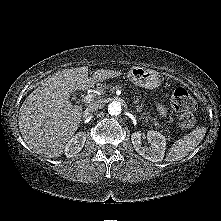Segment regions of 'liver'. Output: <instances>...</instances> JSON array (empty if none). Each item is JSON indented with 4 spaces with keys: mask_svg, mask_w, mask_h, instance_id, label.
<instances>
[{
    "mask_svg": "<svg viewBox=\"0 0 221 221\" xmlns=\"http://www.w3.org/2000/svg\"><path fill=\"white\" fill-rule=\"evenodd\" d=\"M120 75L119 71L99 69L88 77V67L83 66L58 72L42 82L19 110V129L29 148L48 158L60 157L82 117V106L69 101L71 94Z\"/></svg>",
    "mask_w": 221,
    "mask_h": 221,
    "instance_id": "1",
    "label": "liver"
}]
</instances>
